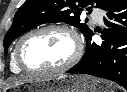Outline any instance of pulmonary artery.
<instances>
[{"instance_id":"obj_1","label":"pulmonary artery","mask_w":127,"mask_h":92,"mask_svg":"<svg viewBox=\"0 0 127 92\" xmlns=\"http://www.w3.org/2000/svg\"><path fill=\"white\" fill-rule=\"evenodd\" d=\"M92 17L95 22L99 24L103 23V12L102 11H93Z\"/></svg>"}]
</instances>
